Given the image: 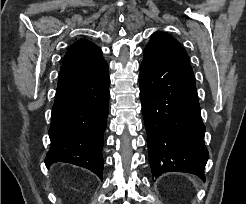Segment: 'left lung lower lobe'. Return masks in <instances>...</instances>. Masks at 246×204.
Returning <instances> with one entry per match:
<instances>
[{"label": "left lung lower lobe", "mask_w": 246, "mask_h": 204, "mask_svg": "<svg viewBox=\"0 0 246 204\" xmlns=\"http://www.w3.org/2000/svg\"><path fill=\"white\" fill-rule=\"evenodd\" d=\"M139 84L153 176L187 172L205 181L209 154L190 63L146 47Z\"/></svg>", "instance_id": "0a47b994"}]
</instances>
